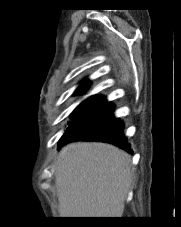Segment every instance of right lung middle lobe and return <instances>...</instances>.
Here are the masks:
<instances>
[{
  "label": "right lung middle lobe",
  "mask_w": 181,
  "mask_h": 227,
  "mask_svg": "<svg viewBox=\"0 0 181 227\" xmlns=\"http://www.w3.org/2000/svg\"><path fill=\"white\" fill-rule=\"evenodd\" d=\"M107 104V101L100 96H92L82 102L72 113L73 121L70 127L80 120L96 113Z\"/></svg>",
  "instance_id": "right-lung-middle-lobe-1"
}]
</instances>
